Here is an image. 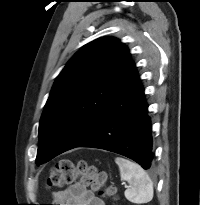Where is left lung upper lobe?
<instances>
[{"label": "left lung upper lobe", "instance_id": "1", "mask_svg": "<svg viewBox=\"0 0 200 205\" xmlns=\"http://www.w3.org/2000/svg\"><path fill=\"white\" fill-rule=\"evenodd\" d=\"M118 39L99 38L80 49L58 75L39 124V166L75 148L104 114L131 64Z\"/></svg>", "mask_w": 200, "mask_h": 205}]
</instances>
